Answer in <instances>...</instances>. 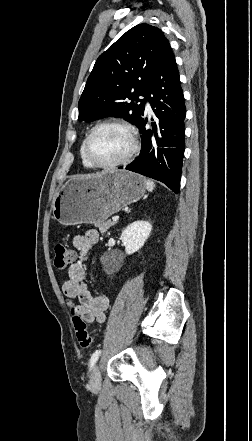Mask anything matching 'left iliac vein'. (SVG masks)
Instances as JSON below:
<instances>
[{
	"instance_id": "left-iliac-vein-1",
	"label": "left iliac vein",
	"mask_w": 252,
	"mask_h": 441,
	"mask_svg": "<svg viewBox=\"0 0 252 441\" xmlns=\"http://www.w3.org/2000/svg\"><path fill=\"white\" fill-rule=\"evenodd\" d=\"M90 384L94 388L100 386L101 384V373L98 365H96L92 371Z\"/></svg>"
}]
</instances>
